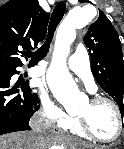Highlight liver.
Masks as SVG:
<instances>
[{"label": "liver", "mask_w": 124, "mask_h": 149, "mask_svg": "<svg viewBox=\"0 0 124 149\" xmlns=\"http://www.w3.org/2000/svg\"><path fill=\"white\" fill-rule=\"evenodd\" d=\"M31 142H36V145H31ZM48 143L46 137L31 140L30 133H11L0 136V149H30V146H35V149H43ZM90 149V146H86Z\"/></svg>", "instance_id": "obj_1"}]
</instances>
